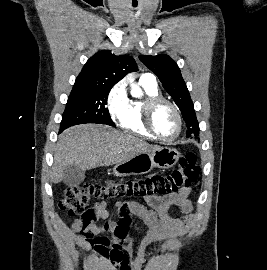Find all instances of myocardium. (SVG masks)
<instances>
[{
	"label": "myocardium",
	"instance_id": "obj_1",
	"mask_svg": "<svg viewBox=\"0 0 267 270\" xmlns=\"http://www.w3.org/2000/svg\"><path fill=\"white\" fill-rule=\"evenodd\" d=\"M160 104L169 105L173 109L176 115L178 128H177L176 134L172 138H164L160 136L154 127L153 114H154L155 109ZM143 124L146 130L153 136V138L161 142L168 143V144L174 143L175 141L179 139L182 133V128H183L182 116H181L179 108L177 107L175 103H173L172 101L162 96L150 97L145 101L144 106H143Z\"/></svg>",
	"mask_w": 267,
	"mask_h": 270
}]
</instances>
